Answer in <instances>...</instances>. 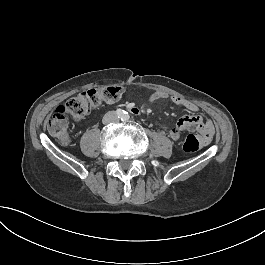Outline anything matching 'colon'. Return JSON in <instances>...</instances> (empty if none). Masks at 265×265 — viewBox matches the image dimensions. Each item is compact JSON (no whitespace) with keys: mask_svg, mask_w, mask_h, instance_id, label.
Masks as SVG:
<instances>
[{"mask_svg":"<svg viewBox=\"0 0 265 265\" xmlns=\"http://www.w3.org/2000/svg\"><path fill=\"white\" fill-rule=\"evenodd\" d=\"M123 93L121 86H103L87 89L72 97L60 105L48 119L46 125L49 132L57 138L62 146H68L70 135L68 133L67 118L71 116L80 120L93 111L117 101ZM201 147L198 137L189 134L185 138L183 150L186 153H194Z\"/></svg>","mask_w":265,"mask_h":265,"instance_id":"obj_1","label":"colon"}]
</instances>
